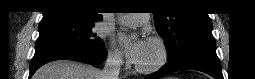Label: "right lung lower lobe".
<instances>
[{
  "mask_svg": "<svg viewBox=\"0 0 255 79\" xmlns=\"http://www.w3.org/2000/svg\"><path fill=\"white\" fill-rule=\"evenodd\" d=\"M106 56V48L103 45L97 49L74 48L67 46H48L35 50L30 64L29 78L42 65L54 60H74L87 64L100 63Z\"/></svg>",
  "mask_w": 255,
  "mask_h": 79,
  "instance_id": "obj_1",
  "label": "right lung lower lobe"
}]
</instances>
